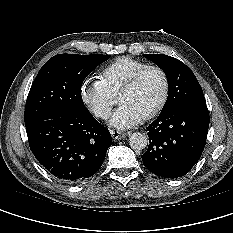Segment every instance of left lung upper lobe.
Instances as JSON below:
<instances>
[{"instance_id":"1","label":"left lung upper lobe","mask_w":233,"mask_h":233,"mask_svg":"<svg viewBox=\"0 0 233 233\" xmlns=\"http://www.w3.org/2000/svg\"><path fill=\"white\" fill-rule=\"evenodd\" d=\"M145 56L168 76L169 94L161 113L183 105H206L202 88L188 66L174 57L163 54Z\"/></svg>"}]
</instances>
